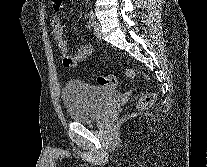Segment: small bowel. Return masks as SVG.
Returning a JSON list of instances; mask_svg holds the SVG:
<instances>
[{"mask_svg": "<svg viewBox=\"0 0 207 167\" xmlns=\"http://www.w3.org/2000/svg\"><path fill=\"white\" fill-rule=\"evenodd\" d=\"M54 15L51 19L52 32L58 42L62 64L67 69H75L85 63L92 54V46L84 44L70 53L66 41L63 39L64 26L59 16L63 0H52Z\"/></svg>", "mask_w": 207, "mask_h": 167, "instance_id": "small-bowel-1", "label": "small bowel"}]
</instances>
